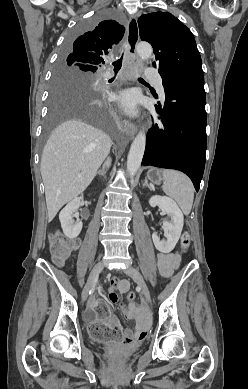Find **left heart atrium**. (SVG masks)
<instances>
[{"instance_id":"39dd6f15","label":"left heart atrium","mask_w":248,"mask_h":389,"mask_svg":"<svg viewBox=\"0 0 248 389\" xmlns=\"http://www.w3.org/2000/svg\"><path fill=\"white\" fill-rule=\"evenodd\" d=\"M117 100L123 110L128 114L136 113L138 97L133 91H124L118 97Z\"/></svg>"}]
</instances>
